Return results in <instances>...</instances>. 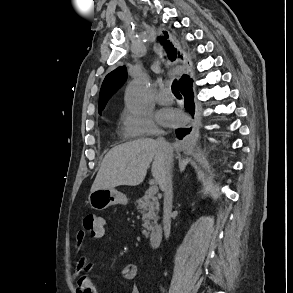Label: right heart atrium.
<instances>
[{"label": "right heart atrium", "instance_id": "obj_1", "mask_svg": "<svg viewBox=\"0 0 293 293\" xmlns=\"http://www.w3.org/2000/svg\"><path fill=\"white\" fill-rule=\"evenodd\" d=\"M121 126L129 137L156 136L162 130L148 112L124 110L120 116Z\"/></svg>", "mask_w": 293, "mask_h": 293}]
</instances>
